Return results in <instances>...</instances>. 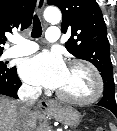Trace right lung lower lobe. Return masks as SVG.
Returning <instances> with one entry per match:
<instances>
[{"mask_svg":"<svg viewBox=\"0 0 117 131\" xmlns=\"http://www.w3.org/2000/svg\"><path fill=\"white\" fill-rule=\"evenodd\" d=\"M21 85V81L17 76L16 68H10V71L4 75H0V94L18 98L17 91Z\"/></svg>","mask_w":117,"mask_h":131,"instance_id":"obj_1","label":"right lung lower lobe"}]
</instances>
